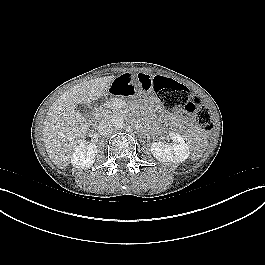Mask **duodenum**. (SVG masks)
Returning <instances> with one entry per match:
<instances>
[{
	"mask_svg": "<svg viewBox=\"0 0 265 265\" xmlns=\"http://www.w3.org/2000/svg\"><path fill=\"white\" fill-rule=\"evenodd\" d=\"M96 115H99V113L96 111Z\"/></svg>",
	"mask_w": 265,
	"mask_h": 265,
	"instance_id": "obj_1",
	"label": "duodenum"
}]
</instances>
